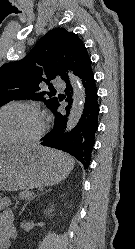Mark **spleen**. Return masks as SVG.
<instances>
[{"mask_svg": "<svg viewBox=\"0 0 135 249\" xmlns=\"http://www.w3.org/2000/svg\"><path fill=\"white\" fill-rule=\"evenodd\" d=\"M57 155L61 161H63V162L71 161L74 164V160L70 156H68L67 154L57 152Z\"/></svg>", "mask_w": 135, "mask_h": 249, "instance_id": "obj_1", "label": "spleen"}]
</instances>
